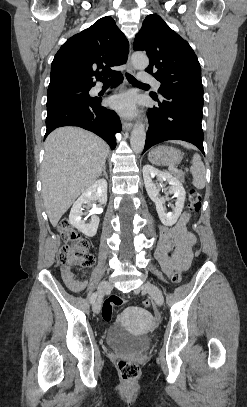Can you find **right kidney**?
Returning a JSON list of instances; mask_svg holds the SVG:
<instances>
[{
    "label": "right kidney",
    "mask_w": 247,
    "mask_h": 407,
    "mask_svg": "<svg viewBox=\"0 0 247 407\" xmlns=\"http://www.w3.org/2000/svg\"><path fill=\"white\" fill-rule=\"evenodd\" d=\"M94 201H98L99 206L106 204V180L99 179L95 181L87 190L82 193V195L76 200L71 208L69 214V223L87 237H93L96 235L100 220L99 217L96 215L97 210H95L94 215L91 217V221L89 223H86L84 220H82V206L83 204L90 205Z\"/></svg>",
    "instance_id": "right-kidney-1"
}]
</instances>
